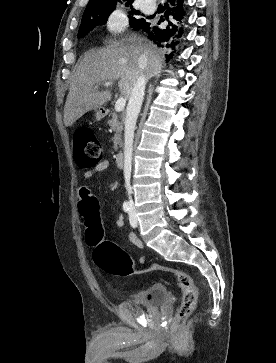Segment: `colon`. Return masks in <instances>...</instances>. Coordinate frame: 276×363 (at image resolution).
I'll return each mask as SVG.
<instances>
[{
    "mask_svg": "<svg viewBox=\"0 0 276 363\" xmlns=\"http://www.w3.org/2000/svg\"><path fill=\"white\" fill-rule=\"evenodd\" d=\"M74 152L81 167H92L98 164L103 156L101 143L89 128H78L75 131ZM88 225L86 241L88 245L94 248V262L102 270L113 275L127 276L133 274L136 261L115 243L104 239L98 213L90 216ZM151 268L158 272H169L175 276L178 285L183 290L175 322L188 317L195 309L199 297V290L192 276L187 272L173 270L161 265H153Z\"/></svg>",
    "mask_w": 276,
    "mask_h": 363,
    "instance_id": "obj_1",
    "label": "colon"
}]
</instances>
